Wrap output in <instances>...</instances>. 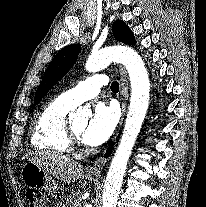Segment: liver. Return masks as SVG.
Segmentation results:
<instances>
[{
  "label": "liver",
  "mask_w": 206,
  "mask_h": 207,
  "mask_svg": "<svg viewBox=\"0 0 206 207\" xmlns=\"http://www.w3.org/2000/svg\"><path fill=\"white\" fill-rule=\"evenodd\" d=\"M26 158L50 175L66 183L78 180L83 174L81 164L59 153L37 151L27 154Z\"/></svg>",
  "instance_id": "6515ba94"
}]
</instances>
